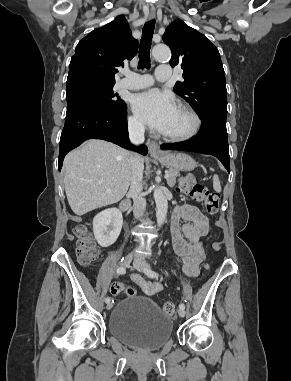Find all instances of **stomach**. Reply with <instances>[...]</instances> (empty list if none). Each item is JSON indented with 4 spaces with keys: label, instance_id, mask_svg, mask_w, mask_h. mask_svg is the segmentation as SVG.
I'll use <instances>...</instances> for the list:
<instances>
[{
    "label": "stomach",
    "instance_id": "0dacf381",
    "mask_svg": "<svg viewBox=\"0 0 291 381\" xmlns=\"http://www.w3.org/2000/svg\"><path fill=\"white\" fill-rule=\"evenodd\" d=\"M162 165L178 171H191L196 167L195 160L185 153H164L154 156Z\"/></svg>",
    "mask_w": 291,
    "mask_h": 381
}]
</instances>
